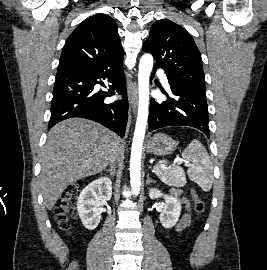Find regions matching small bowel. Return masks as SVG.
Wrapping results in <instances>:
<instances>
[{
    "label": "small bowel",
    "instance_id": "obj_1",
    "mask_svg": "<svg viewBox=\"0 0 267 270\" xmlns=\"http://www.w3.org/2000/svg\"><path fill=\"white\" fill-rule=\"evenodd\" d=\"M173 194L177 197H179V191L174 190ZM182 203L184 204L185 207H188V202L185 199H182ZM190 218L188 215H183L182 218L180 219V221L178 222L177 226H176V230L180 231L182 229H184L188 224H189Z\"/></svg>",
    "mask_w": 267,
    "mask_h": 270
}]
</instances>
